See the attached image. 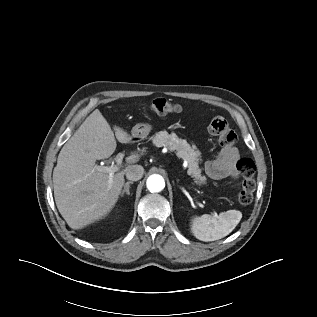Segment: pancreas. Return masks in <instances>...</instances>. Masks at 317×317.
Segmentation results:
<instances>
[{
	"instance_id": "1",
	"label": "pancreas",
	"mask_w": 317,
	"mask_h": 317,
	"mask_svg": "<svg viewBox=\"0 0 317 317\" xmlns=\"http://www.w3.org/2000/svg\"><path fill=\"white\" fill-rule=\"evenodd\" d=\"M153 144L157 147H166L175 152L177 157L182 158L188 163V174L194 177L196 184H205L206 178L201 175L199 162L201 153L196 147H191L184 139L179 138L175 133L169 134L167 131H160L155 134Z\"/></svg>"
}]
</instances>
